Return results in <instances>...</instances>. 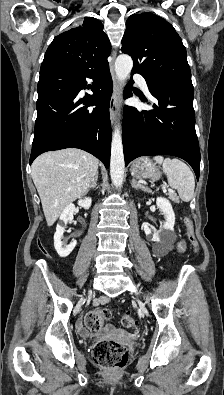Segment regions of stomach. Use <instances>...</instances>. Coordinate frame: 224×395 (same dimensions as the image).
I'll return each instance as SVG.
<instances>
[{"label": "stomach", "mask_w": 224, "mask_h": 395, "mask_svg": "<svg viewBox=\"0 0 224 395\" xmlns=\"http://www.w3.org/2000/svg\"><path fill=\"white\" fill-rule=\"evenodd\" d=\"M131 175L137 179L157 180L161 177V172L149 158L141 157L132 164Z\"/></svg>", "instance_id": "stomach-1"}]
</instances>
